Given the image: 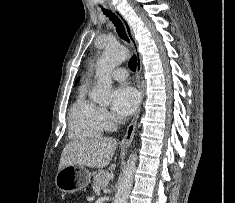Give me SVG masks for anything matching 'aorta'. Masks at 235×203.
Listing matches in <instances>:
<instances>
[{"instance_id":"1","label":"aorta","mask_w":235,"mask_h":203,"mask_svg":"<svg viewBox=\"0 0 235 203\" xmlns=\"http://www.w3.org/2000/svg\"><path fill=\"white\" fill-rule=\"evenodd\" d=\"M129 56L126 47L119 43L108 44L97 61L96 77L97 86L92 93V99L100 105H108L110 102V91L112 88L111 72L123 63ZM137 155L131 154L124 176L119 184L115 195L114 203H128V198L132 189L134 174L136 171Z\"/></svg>"}]
</instances>
